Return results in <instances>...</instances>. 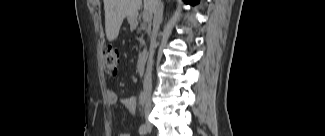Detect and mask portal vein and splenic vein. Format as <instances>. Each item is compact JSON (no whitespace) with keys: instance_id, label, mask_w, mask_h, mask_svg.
<instances>
[{"instance_id":"1","label":"portal vein and splenic vein","mask_w":325,"mask_h":136,"mask_svg":"<svg viewBox=\"0 0 325 136\" xmlns=\"http://www.w3.org/2000/svg\"><path fill=\"white\" fill-rule=\"evenodd\" d=\"M152 20V13L151 12H149V11H145L144 13H143V21L144 22H150Z\"/></svg>"}]
</instances>
